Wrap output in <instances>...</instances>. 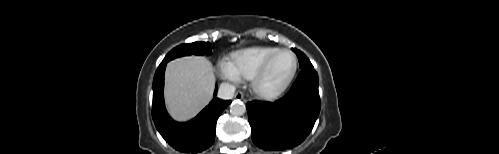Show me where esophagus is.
Listing matches in <instances>:
<instances>
[{
	"mask_svg": "<svg viewBox=\"0 0 499 154\" xmlns=\"http://www.w3.org/2000/svg\"><path fill=\"white\" fill-rule=\"evenodd\" d=\"M234 97L235 99H244V95L241 91H237Z\"/></svg>",
	"mask_w": 499,
	"mask_h": 154,
	"instance_id": "34e87169",
	"label": "esophagus"
}]
</instances>
